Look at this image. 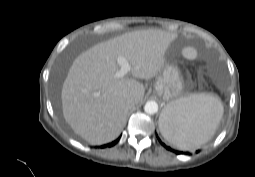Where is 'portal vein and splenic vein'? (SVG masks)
<instances>
[{"mask_svg":"<svg viewBox=\"0 0 255 177\" xmlns=\"http://www.w3.org/2000/svg\"><path fill=\"white\" fill-rule=\"evenodd\" d=\"M117 63L120 65V70L116 72L115 77L122 78L131 70V66L126 58L122 56L117 58Z\"/></svg>","mask_w":255,"mask_h":177,"instance_id":"18ae733b","label":"portal vein and splenic vein"}]
</instances>
